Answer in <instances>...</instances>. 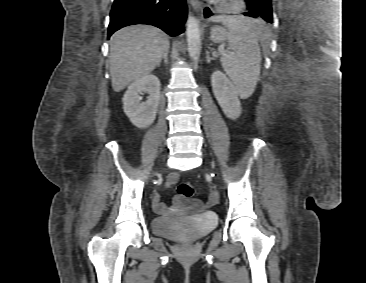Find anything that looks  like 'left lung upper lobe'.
Returning <instances> with one entry per match:
<instances>
[{
  "instance_id": "obj_1",
  "label": "left lung upper lobe",
  "mask_w": 366,
  "mask_h": 283,
  "mask_svg": "<svg viewBox=\"0 0 366 283\" xmlns=\"http://www.w3.org/2000/svg\"><path fill=\"white\" fill-rule=\"evenodd\" d=\"M247 1L252 11L259 14V18H263L267 22H273V11L271 0H245Z\"/></svg>"
}]
</instances>
